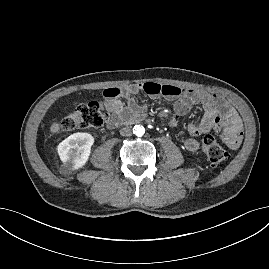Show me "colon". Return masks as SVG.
Masks as SVG:
<instances>
[{
    "instance_id": "5ec220e1",
    "label": "colon",
    "mask_w": 269,
    "mask_h": 269,
    "mask_svg": "<svg viewBox=\"0 0 269 269\" xmlns=\"http://www.w3.org/2000/svg\"><path fill=\"white\" fill-rule=\"evenodd\" d=\"M109 119V115L101 109L99 103H83L75 107L61 120V128L64 131L98 128ZM201 147L212 164H222L228 159L227 151L217 143L212 135L207 134L202 138Z\"/></svg>"
}]
</instances>
